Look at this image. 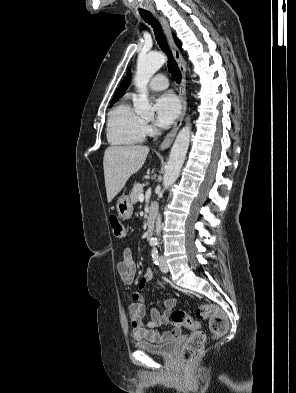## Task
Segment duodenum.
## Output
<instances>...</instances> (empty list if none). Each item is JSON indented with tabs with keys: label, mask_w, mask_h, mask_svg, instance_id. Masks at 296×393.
I'll return each mask as SVG.
<instances>
[{
	"label": "duodenum",
	"mask_w": 296,
	"mask_h": 393,
	"mask_svg": "<svg viewBox=\"0 0 296 393\" xmlns=\"http://www.w3.org/2000/svg\"><path fill=\"white\" fill-rule=\"evenodd\" d=\"M156 214H157V206L152 205L149 208V212H148V223H147V236H148V238H150L153 234L154 219H155Z\"/></svg>",
	"instance_id": "obj_1"
}]
</instances>
